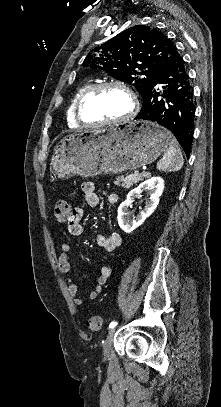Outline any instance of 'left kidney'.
<instances>
[{"instance_id": "5707ae66", "label": "left kidney", "mask_w": 221, "mask_h": 407, "mask_svg": "<svg viewBox=\"0 0 221 407\" xmlns=\"http://www.w3.org/2000/svg\"><path fill=\"white\" fill-rule=\"evenodd\" d=\"M163 189L164 180L161 177H152L142 182L137 188L131 190L126 200L123 201L118 208L117 220L120 228L126 233H130L138 228L156 209ZM143 191L150 193V200L146 203L144 210H142L137 217L133 218V220H130L128 217V208L134 199Z\"/></svg>"}]
</instances>
